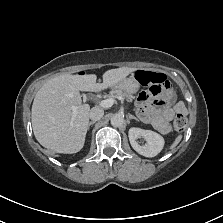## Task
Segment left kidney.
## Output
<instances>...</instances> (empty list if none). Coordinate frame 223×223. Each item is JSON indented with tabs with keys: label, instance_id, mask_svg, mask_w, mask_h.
I'll list each match as a JSON object with an SVG mask.
<instances>
[{
	"label": "left kidney",
	"instance_id": "1",
	"mask_svg": "<svg viewBox=\"0 0 223 223\" xmlns=\"http://www.w3.org/2000/svg\"><path fill=\"white\" fill-rule=\"evenodd\" d=\"M146 138L145 144H140L136 140L139 136ZM129 140L132 147L141 155L146 157L157 156L164 148L165 140L163 136L153 130H142L140 128H130Z\"/></svg>",
	"mask_w": 223,
	"mask_h": 223
}]
</instances>
